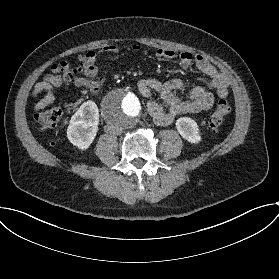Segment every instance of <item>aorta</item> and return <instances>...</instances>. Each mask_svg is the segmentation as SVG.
<instances>
[{"label":"aorta","instance_id":"1","mask_svg":"<svg viewBox=\"0 0 279 279\" xmlns=\"http://www.w3.org/2000/svg\"><path fill=\"white\" fill-rule=\"evenodd\" d=\"M141 112V101L125 87L110 91L102 101V114L106 123L122 130L135 126Z\"/></svg>","mask_w":279,"mask_h":279}]
</instances>
